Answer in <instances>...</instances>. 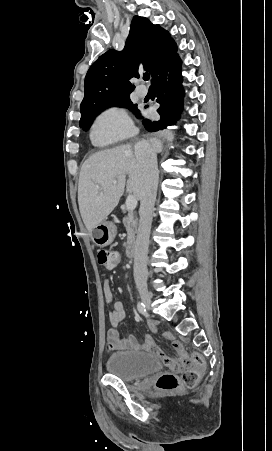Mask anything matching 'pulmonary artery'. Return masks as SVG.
Listing matches in <instances>:
<instances>
[{
    "label": "pulmonary artery",
    "instance_id": "obj_1",
    "mask_svg": "<svg viewBox=\"0 0 272 451\" xmlns=\"http://www.w3.org/2000/svg\"><path fill=\"white\" fill-rule=\"evenodd\" d=\"M143 88L141 86H139L136 90V93L139 97L144 98L147 95V91L146 90H142Z\"/></svg>",
    "mask_w": 272,
    "mask_h": 451
}]
</instances>
